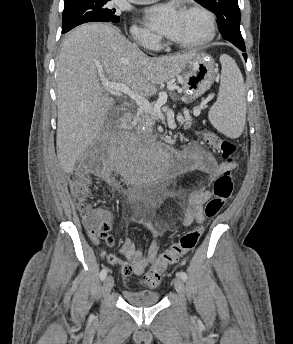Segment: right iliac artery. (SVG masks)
Returning <instances> with one entry per match:
<instances>
[{
    "mask_svg": "<svg viewBox=\"0 0 293 344\" xmlns=\"http://www.w3.org/2000/svg\"><path fill=\"white\" fill-rule=\"evenodd\" d=\"M108 273V269L107 268H103L100 272V279L104 280L106 278V275Z\"/></svg>",
    "mask_w": 293,
    "mask_h": 344,
    "instance_id": "1",
    "label": "right iliac artery"
}]
</instances>
